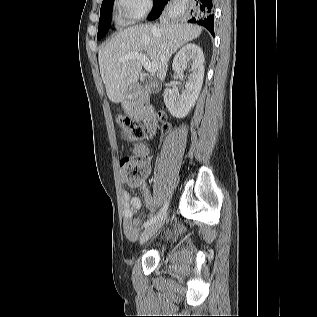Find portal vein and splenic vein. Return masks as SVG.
<instances>
[{
	"mask_svg": "<svg viewBox=\"0 0 317 317\" xmlns=\"http://www.w3.org/2000/svg\"><path fill=\"white\" fill-rule=\"evenodd\" d=\"M132 59L138 60L150 74L156 73L157 64L153 61L151 62L147 58V56L141 52H129L127 55H125L124 57H121L119 60L128 61Z\"/></svg>",
	"mask_w": 317,
	"mask_h": 317,
	"instance_id": "portal-vein-and-splenic-vein-1",
	"label": "portal vein and splenic vein"
}]
</instances>
